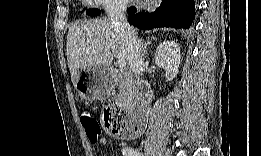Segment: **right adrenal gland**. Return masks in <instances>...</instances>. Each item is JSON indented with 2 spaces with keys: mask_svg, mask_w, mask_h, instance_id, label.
Returning <instances> with one entry per match:
<instances>
[{
  "mask_svg": "<svg viewBox=\"0 0 261 156\" xmlns=\"http://www.w3.org/2000/svg\"><path fill=\"white\" fill-rule=\"evenodd\" d=\"M154 40H156L155 38H152ZM151 43V39H148L145 43L143 39H140V46H141V53H142V57L144 58L146 53H147V47L148 45Z\"/></svg>",
  "mask_w": 261,
  "mask_h": 156,
  "instance_id": "right-adrenal-gland-1",
  "label": "right adrenal gland"
}]
</instances>
